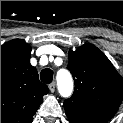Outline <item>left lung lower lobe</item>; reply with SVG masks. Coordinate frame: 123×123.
<instances>
[{"mask_svg":"<svg viewBox=\"0 0 123 123\" xmlns=\"http://www.w3.org/2000/svg\"><path fill=\"white\" fill-rule=\"evenodd\" d=\"M70 123H106L107 121L87 116L82 113H68L66 114Z\"/></svg>","mask_w":123,"mask_h":123,"instance_id":"obj_1","label":"left lung lower lobe"}]
</instances>
